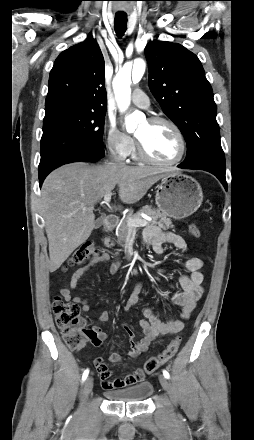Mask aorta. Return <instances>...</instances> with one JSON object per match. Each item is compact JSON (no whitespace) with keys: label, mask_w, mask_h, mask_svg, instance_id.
<instances>
[{"label":"aorta","mask_w":254,"mask_h":440,"mask_svg":"<svg viewBox=\"0 0 254 440\" xmlns=\"http://www.w3.org/2000/svg\"><path fill=\"white\" fill-rule=\"evenodd\" d=\"M146 69L144 60L137 59L134 64H125L113 79V90L118 108L121 112L128 109L131 101V83L139 82ZM132 74V79H131ZM140 118L139 113H132L125 118V126L128 132H133L137 127V121Z\"/></svg>","instance_id":"aorta-1"}]
</instances>
